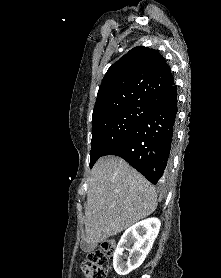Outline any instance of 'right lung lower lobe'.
<instances>
[{
  "label": "right lung lower lobe",
  "instance_id": "98d812e1",
  "mask_svg": "<svg viewBox=\"0 0 221 278\" xmlns=\"http://www.w3.org/2000/svg\"><path fill=\"white\" fill-rule=\"evenodd\" d=\"M146 103L149 112L102 156L122 157L151 183L157 184L165 179L170 163L177 114L176 86L155 93Z\"/></svg>",
  "mask_w": 221,
  "mask_h": 278
}]
</instances>
